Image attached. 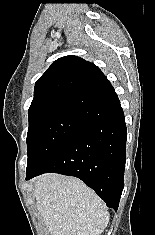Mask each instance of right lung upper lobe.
<instances>
[{
  "mask_svg": "<svg viewBox=\"0 0 155 235\" xmlns=\"http://www.w3.org/2000/svg\"><path fill=\"white\" fill-rule=\"evenodd\" d=\"M108 81L93 63L77 56L57 59L36 81L29 114L47 109L66 111L86 120L99 117L90 105L86 91Z\"/></svg>",
  "mask_w": 155,
  "mask_h": 235,
  "instance_id": "cb5924a9",
  "label": "right lung upper lobe"
}]
</instances>
